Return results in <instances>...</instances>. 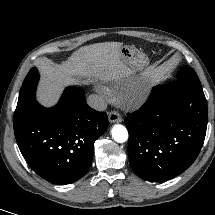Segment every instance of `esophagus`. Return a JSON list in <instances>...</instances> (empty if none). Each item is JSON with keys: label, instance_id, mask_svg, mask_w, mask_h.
Segmentation results:
<instances>
[{"label": "esophagus", "instance_id": "obj_1", "mask_svg": "<svg viewBox=\"0 0 215 215\" xmlns=\"http://www.w3.org/2000/svg\"><path fill=\"white\" fill-rule=\"evenodd\" d=\"M109 122L120 123L122 121L121 115L117 111H111L108 115Z\"/></svg>", "mask_w": 215, "mask_h": 215}]
</instances>
